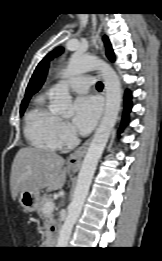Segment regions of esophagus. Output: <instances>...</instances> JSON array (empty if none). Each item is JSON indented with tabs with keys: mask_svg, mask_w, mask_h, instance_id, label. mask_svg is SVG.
<instances>
[{
	"mask_svg": "<svg viewBox=\"0 0 162 261\" xmlns=\"http://www.w3.org/2000/svg\"><path fill=\"white\" fill-rule=\"evenodd\" d=\"M93 137L87 139L79 148H77L68 158V167L73 170H78L81 165L82 158L84 157L89 144Z\"/></svg>",
	"mask_w": 162,
	"mask_h": 261,
	"instance_id": "esophagus-1",
	"label": "esophagus"
}]
</instances>
